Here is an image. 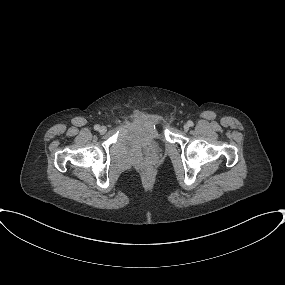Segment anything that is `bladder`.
<instances>
[{"label":"bladder","instance_id":"bladder-1","mask_svg":"<svg viewBox=\"0 0 285 285\" xmlns=\"http://www.w3.org/2000/svg\"><path fill=\"white\" fill-rule=\"evenodd\" d=\"M152 135L155 136L156 135V131L152 130Z\"/></svg>","mask_w":285,"mask_h":285}]
</instances>
